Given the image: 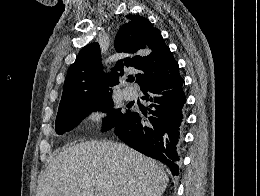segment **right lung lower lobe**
Masks as SVG:
<instances>
[{
  "mask_svg": "<svg viewBox=\"0 0 260 196\" xmlns=\"http://www.w3.org/2000/svg\"><path fill=\"white\" fill-rule=\"evenodd\" d=\"M149 101L148 117L138 112L115 127V134L125 144L146 156L164 162L179 175L182 144L183 111L186 102L184 79L177 69L174 74L142 89Z\"/></svg>",
  "mask_w": 260,
  "mask_h": 196,
  "instance_id": "obj_1",
  "label": "right lung lower lobe"
}]
</instances>
